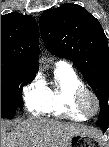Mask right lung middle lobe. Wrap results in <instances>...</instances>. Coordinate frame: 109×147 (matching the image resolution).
<instances>
[{"label": "right lung middle lobe", "instance_id": "obj_1", "mask_svg": "<svg viewBox=\"0 0 109 147\" xmlns=\"http://www.w3.org/2000/svg\"><path fill=\"white\" fill-rule=\"evenodd\" d=\"M34 77V72L22 66L1 62V118L12 119L17 108H23L19 85Z\"/></svg>", "mask_w": 109, "mask_h": 147}]
</instances>
